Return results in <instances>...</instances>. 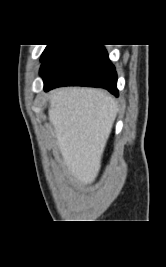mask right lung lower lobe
I'll return each mask as SVG.
<instances>
[{
    "label": "right lung lower lobe",
    "mask_w": 166,
    "mask_h": 267,
    "mask_svg": "<svg viewBox=\"0 0 166 267\" xmlns=\"http://www.w3.org/2000/svg\"><path fill=\"white\" fill-rule=\"evenodd\" d=\"M44 90L60 86H90L118 96L117 73L103 45H54L43 58Z\"/></svg>",
    "instance_id": "right-lung-lower-lobe-1"
}]
</instances>
